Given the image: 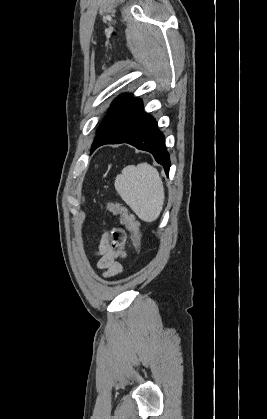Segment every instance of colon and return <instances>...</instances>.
I'll return each instance as SVG.
<instances>
[{"label": "colon", "instance_id": "5ec220e1", "mask_svg": "<svg viewBox=\"0 0 267 419\" xmlns=\"http://www.w3.org/2000/svg\"><path fill=\"white\" fill-rule=\"evenodd\" d=\"M104 207L113 215L119 216L121 222L131 233L132 243L139 253L141 250V232L138 221L134 216L128 212V210L119 203L113 201H105Z\"/></svg>", "mask_w": 267, "mask_h": 419}]
</instances>
